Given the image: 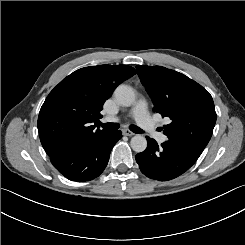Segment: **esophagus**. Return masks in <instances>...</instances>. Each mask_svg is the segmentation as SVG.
<instances>
[{"instance_id":"obj_1","label":"esophagus","mask_w":245,"mask_h":245,"mask_svg":"<svg viewBox=\"0 0 245 245\" xmlns=\"http://www.w3.org/2000/svg\"><path fill=\"white\" fill-rule=\"evenodd\" d=\"M122 133L124 136H133L134 132L130 131L129 129H123Z\"/></svg>"}]
</instances>
